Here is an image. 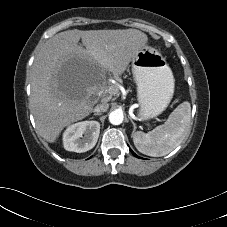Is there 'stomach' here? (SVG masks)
<instances>
[{
  "label": "stomach",
  "instance_id": "stomach-1",
  "mask_svg": "<svg viewBox=\"0 0 227 227\" xmlns=\"http://www.w3.org/2000/svg\"><path fill=\"white\" fill-rule=\"evenodd\" d=\"M132 73L140 104L138 118L161 114L174 93V77L166 59L154 48L143 46L132 58Z\"/></svg>",
  "mask_w": 227,
  "mask_h": 227
}]
</instances>
